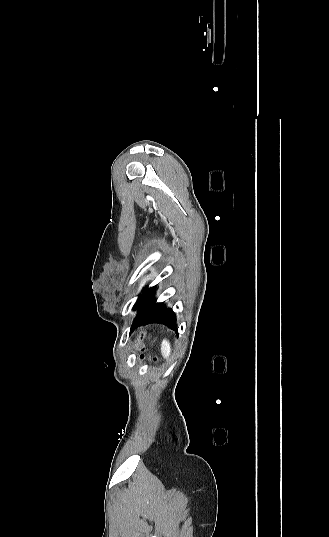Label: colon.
<instances>
[{"mask_svg": "<svg viewBox=\"0 0 329 537\" xmlns=\"http://www.w3.org/2000/svg\"><path fill=\"white\" fill-rule=\"evenodd\" d=\"M136 348H137L138 350H142L143 345H142L141 343H137V344H136Z\"/></svg>", "mask_w": 329, "mask_h": 537, "instance_id": "colon-1", "label": "colon"}]
</instances>
